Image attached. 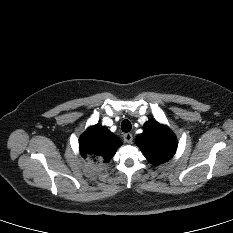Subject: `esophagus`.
<instances>
[{
    "label": "esophagus",
    "mask_w": 233,
    "mask_h": 233,
    "mask_svg": "<svg viewBox=\"0 0 233 233\" xmlns=\"http://www.w3.org/2000/svg\"><path fill=\"white\" fill-rule=\"evenodd\" d=\"M123 139L126 143H132L133 135L131 133H126L124 134Z\"/></svg>",
    "instance_id": "obj_1"
}]
</instances>
